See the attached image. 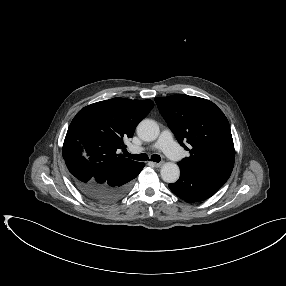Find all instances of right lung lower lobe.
Returning <instances> with one entry per match:
<instances>
[{
	"mask_svg": "<svg viewBox=\"0 0 286 286\" xmlns=\"http://www.w3.org/2000/svg\"><path fill=\"white\" fill-rule=\"evenodd\" d=\"M63 157L78 190L91 201L101 205L112 204L121 199L128 192L131 180L136 178L145 166L139 162L117 176L101 178L77 153L69 152Z\"/></svg>",
	"mask_w": 286,
	"mask_h": 286,
	"instance_id": "right-lung-lower-lobe-1",
	"label": "right lung lower lobe"
}]
</instances>
